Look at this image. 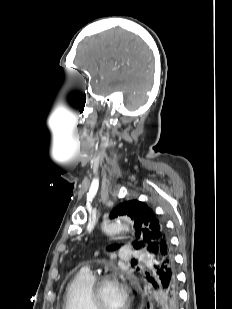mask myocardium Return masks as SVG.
<instances>
[{
	"label": "myocardium",
	"mask_w": 232,
	"mask_h": 309,
	"mask_svg": "<svg viewBox=\"0 0 232 309\" xmlns=\"http://www.w3.org/2000/svg\"><path fill=\"white\" fill-rule=\"evenodd\" d=\"M109 282H118L121 283L120 276L117 272L107 273L99 275L93 282L90 293L89 299L92 306V309H103L99 301V291L100 288ZM122 284V283H121ZM131 306V299L128 298L127 304L124 309H130Z\"/></svg>",
	"instance_id": "f54148a6"
}]
</instances>
